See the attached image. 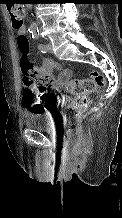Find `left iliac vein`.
<instances>
[{"label": "left iliac vein", "instance_id": "4c4485c4", "mask_svg": "<svg viewBox=\"0 0 122 218\" xmlns=\"http://www.w3.org/2000/svg\"><path fill=\"white\" fill-rule=\"evenodd\" d=\"M46 46H47L48 52H52V45H51V43H47Z\"/></svg>", "mask_w": 122, "mask_h": 218}]
</instances>
